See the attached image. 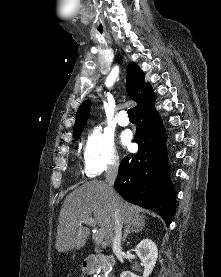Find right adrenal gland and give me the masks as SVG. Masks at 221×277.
Segmentation results:
<instances>
[{
  "instance_id": "obj_1",
  "label": "right adrenal gland",
  "mask_w": 221,
  "mask_h": 277,
  "mask_svg": "<svg viewBox=\"0 0 221 277\" xmlns=\"http://www.w3.org/2000/svg\"><path fill=\"white\" fill-rule=\"evenodd\" d=\"M140 231H142V228H133V227H130L129 225H125L124 233H123V237H122L123 242H125V240L129 234L138 233Z\"/></svg>"
}]
</instances>
